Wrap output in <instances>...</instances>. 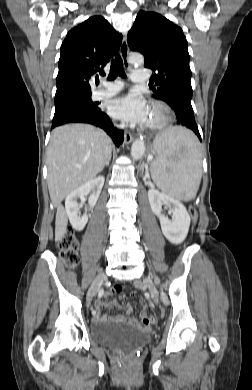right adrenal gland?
Segmentation results:
<instances>
[{"label": "right adrenal gland", "instance_id": "right-adrenal-gland-1", "mask_svg": "<svg viewBox=\"0 0 252 390\" xmlns=\"http://www.w3.org/2000/svg\"><path fill=\"white\" fill-rule=\"evenodd\" d=\"M111 160V156L109 157V159L107 160V162L103 165V167L101 168V171L104 169L105 166H108L109 165V162ZM100 171V172H101Z\"/></svg>", "mask_w": 252, "mask_h": 390}]
</instances>
